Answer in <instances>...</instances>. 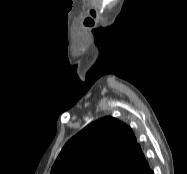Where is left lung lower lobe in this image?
I'll return each mask as SVG.
<instances>
[{
	"label": "left lung lower lobe",
	"mask_w": 187,
	"mask_h": 174,
	"mask_svg": "<svg viewBox=\"0 0 187 174\" xmlns=\"http://www.w3.org/2000/svg\"><path fill=\"white\" fill-rule=\"evenodd\" d=\"M134 174H139V169H137ZM140 174H154L153 171L150 169V167H146L141 171Z\"/></svg>",
	"instance_id": "1"
}]
</instances>
